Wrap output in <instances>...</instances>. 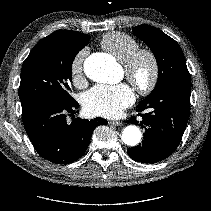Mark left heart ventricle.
<instances>
[{
	"mask_svg": "<svg viewBox=\"0 0 211 211\" xmlns=\"http://www.w3.org/2000/svg\"><path fill=\"white\" fill-rule=\"evenodd\" d=\"M150 65L147 60H143L138 67V77L145 80L149 75Z\"/></svg>",
	"mask_w": 211,
	"mask_h": 211,
	"instance_id": "obj_1",
	"label": "left heart ventricle"
}]
</instances>
